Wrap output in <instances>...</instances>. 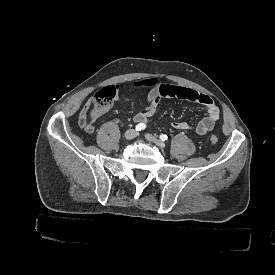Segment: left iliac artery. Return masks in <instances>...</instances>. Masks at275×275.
I'll return each instance as SVG.
<instances>
[{
  "label": "left iliac artery",
  "mask_w": 275,
  "mask_h": 275,
  "mask_svg": "<svg viewBox=\"0 0 275 275\" xmlns=\"http://www.w3.org/2000/svg\"><path fill=\"white\" fill-rule=\"evenodd\" d=\"M160 139H161L162 141H166V140L168 139V137H167L166 134H161V135H160Z\"/></svg>",
  "instance_id": "obj_1"
}]
</instances>
